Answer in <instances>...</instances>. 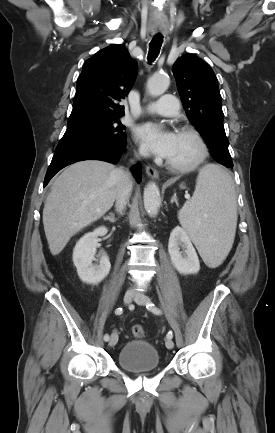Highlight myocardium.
I'll return each mask as SVG.
<instances>
[{"label": "myocardium", "mask_w": 275, "mask_h": 433, "mask_svg": "<svg viewBox=\"0 0 275 433\" xmlns=\"http://www.w3.org/2000/svg\"><path fill=\"white\" fill-rule=\"evenodd\" d=\"M178 133L189 135L197 141L200 149L199 156L194 162H192L189 165H177L168 160H166L165 164L170 170L174 172L184 173V174L193 172L196 169H198L208 157L209 154L208 143L204 138V136L197 129L193 127L190 126L181 127L178 130Z\"/></svg>", "instance_id": "myocardium-1"}]
</instances>
